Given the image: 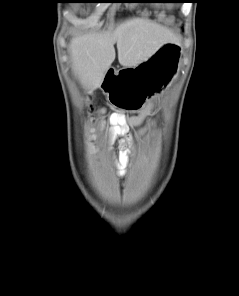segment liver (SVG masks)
<instances>
[{
	"mask_svg": "<svg viewBox=\"0 0 239 296\" xmlns=\"http://www.w3.org/2000/svg\"><path fill=\"white\" fill-rule=\"evenodd\" d=\"M167 28L139 17L127 19L108 30L77 34L70 39L72 70L82 86L90 91L102 84L115 60L123 67H135L151 57L166 42H177Z\"/></svg>",
	"mask_w": 239,
	"mask_h": 296,
	"instance_id": "6515ba94",
	"label": "liver"
}]
</instances>
